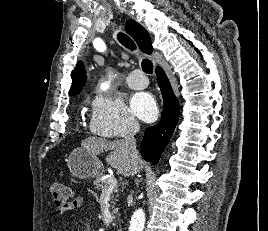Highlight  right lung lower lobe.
<instances>
[{"label":"right lung lower lobe","instance_id":"98d812e1","mask_svg":"<svg viewBox=\"0 0 268 231\" xmlns=\"http://www.w3.org/2000/svg\"><path fill=\"white\" fill-rule=\"evenodd\" d=\"M156 75L164 100L162 118L157 125L146 129L141 142L142 156L146 161L153 164H157L163 150L170 141L180 114L178 100L167 76L160 67L156 68Z\"/></svg>","mask_w":268,"mask_h":231}]
</instances>
